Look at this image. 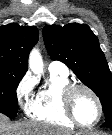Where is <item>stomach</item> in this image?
Segmentation results:
<instances>
[{
    "label": "stomach",
    "instance_id": "obj_1",
    "mask_svg": "<svg viewBox=\"0 0 112 135\" xmlns=\"http://www.w3.org/2000/svg\"><path fill=\"white\" fill-rule=\"evenodd\" d=\"M77 135H98V134L92 132H83V133H78Z\"/></svg>",
    "mask_w": 112,
    "mask_h": 135
}]
</instances>
